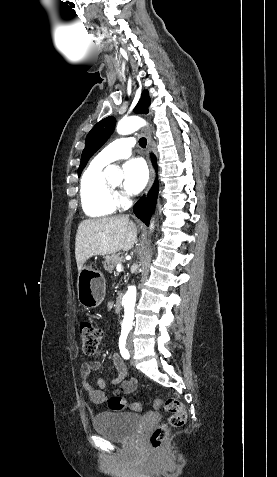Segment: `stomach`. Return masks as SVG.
<instances>
[{"instance_id": "0dacf381", "label": "stomach", "mask_w": 277, "mask_h": 477, "mask_svg": "<svg viewBox=\"0 0 277 477\" xmlns=\"http://www.w3.org/2000/svg\"><path fill=\"white\" fill-rule=\"evenodd\" d=\"M105 279L99 271L91 266H83L77 278V297L85 308L99 306L105 297Z\"/></svg>"}]
</instances>
